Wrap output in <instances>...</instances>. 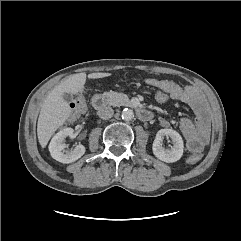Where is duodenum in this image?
<instances>
[{
  "label": "duodenum",
  "instance_id": "1",
  "mask_svg": "<svg viewBox=\"0 0 241 241\" xmlns=\"http://www.w3.org/2000/svg\"><path fill=\"white\" fill-rule=\"evenodd\" d=\"M93 106L101 110L108 103V97L106 95L98 94L93 97ZM137 115L142 121H149L152 117L151 112L144 108H137Z\"/></svg>",
  "mask_w": 241,
  "mask_h": 241
}]
</instances>
